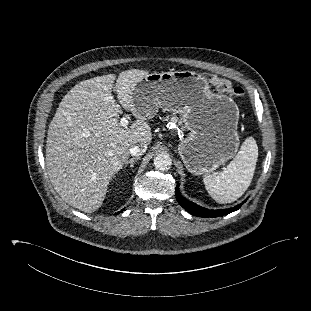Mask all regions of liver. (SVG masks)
Wrapping results in <instances>:
<instances>
[{
    "label": "liver",
    "instance_id": "liver-1",
    "mask_svg": "<svg viewBox=\"0 0 311 311\" xmlns=\"http://www.w3.org/2000/svg\"><path fill=\"white\" fill-rule=\"evenodd\" d=\"M148 74L139 69L119 73L115 91L120 105L112 95L115 74L82 81L63 97L49 124L46 167L54 189L69 205L96 211L129 149L151 143V127L132 100L134 88ZM120 106L136 117L129 127L119 123Z\"/></svg>",
    "mask_w": 311,
    "mask_h": 311
}]
</instances>
